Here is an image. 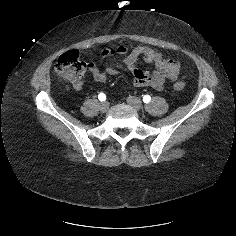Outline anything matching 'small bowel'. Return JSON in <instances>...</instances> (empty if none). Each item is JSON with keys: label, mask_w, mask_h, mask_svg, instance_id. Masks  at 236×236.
<instances>
[{"label": "small bowel", "mask_w": 236, "mask_h": 236, "mask_svg": "<svg viewBox=\"0 0 236 236\" xmlns=\"http://www.w3.org/2000/svg\"><path fill=\"white\" fill-rule=\"evenodd\" d=\"M114 55L123 56L121 63L133 74L132 84L136 87H150L161 91L165 81H175L181 71L180 65L176 61L151 46L142 45L129 50L127 46L121 45L117 48H104L101 50V56L103 57ZM140 58L147 63L153 64L155 70L150 73L136 67V62ZM89 71L96 82H104L109 76L118 73L116 67H108L101 70L93 62L89 64Z\"/></svg>", "instance_id": "c3829d8e"}]
</instances>
